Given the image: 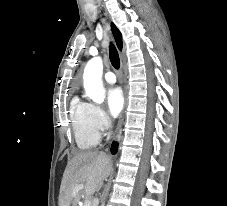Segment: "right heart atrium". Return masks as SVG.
<instances>
[{
    "label": "right heart atrium",
    "mask_w": 227,
    "mask_h": 206,
    "mask_svg": "<svg viewBox=\"0 0 227 206\" xmlns=\"http://www.w3.org/2000/svg\"><path fill=\"white\" fill-rule=\"evenodd\" d=\"M91 120L98 132L104 131L109 125V118L100 107L91 105Z\"/></svg>",
    "instance_id": "obj_1"
}]
</instances>
